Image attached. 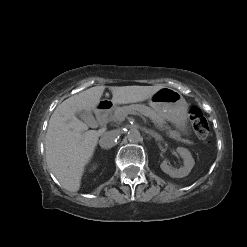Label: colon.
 Wrapping results in <instances>:
<instances>
[{"label":"colon","mask_w":247,"mask_h":247,"mask_svg":"<svg viewBox=\"0 0 247 247\" xmlns=\"http://www.w3.org/2000/svg\"><path fill=\"white\" fill-rule=\"evenodd\" d=\"M189 120L199 139L205 140L209 135V125L202 111L193 106L189 110Z\"/></svg>","instance_id":"colon-1"}]
</instances>
